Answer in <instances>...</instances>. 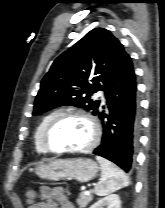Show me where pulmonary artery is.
Segmentation results:
<instances>
[{
    "instance_id": "pulmonary-artery-1",
    "label": "pulmonary artery",
    "mask_w": 165,
    "mask_h": 208,
    "mask_svg": "<svg viewBox=\"0 0 165 208\" xmlns=\"http://www.w3.org/2000/svg\"><path fill=\"white\" fill-rule=\"evenodd\" d=\"M98 97H100L102 104H105V98L102 91L97 92L96 94Z\"/></svg>"
}]
</instances>
